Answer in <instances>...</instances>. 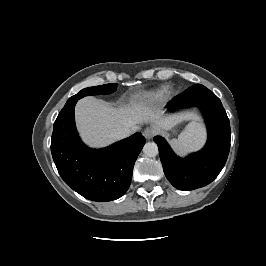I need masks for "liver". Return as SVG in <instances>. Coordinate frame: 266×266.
<instances>
[{
    "instance_id": "6515ba94",
    "label": "liver",
    "mask_w": 266,
    "mask_h": 266,
    "mask_svg": "<svg viewBox=\"0 0 266 266\" xmlns=\"http://www.w3.org/2000/svg\"><path fill=\"white\" fill-rule=\"evenodd\" d=\"M76 123L83 140L91 146H105L118 139L115 131L129 127L132 132L143 122H153L162 129L171 128L180 117L161 118L159 112L135 105L133 108H114L94 97L78 101L75 109Z\"/></svg>"
}]
</instances>
